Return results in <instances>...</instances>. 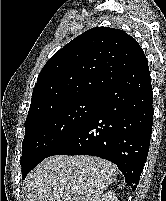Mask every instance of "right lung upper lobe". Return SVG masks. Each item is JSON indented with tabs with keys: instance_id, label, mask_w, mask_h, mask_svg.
<instances>
[{
	"instance_id": "1",
	"label": "right lung upper lobe",
	"mask_w": 166,
	"mask_h": 201,
	"mask_svg": "<svg viewBox=\"0 0 166 201\" xmlns=\"http://www.w3.org/2000/svg\"><path fill=\"white\" fill-rule=\"evenodd\" d=\"M143 57L138 42L120 29L92 28L65 45L41 70L28 117L85 95H101Z\"/></svg>"
}]
</instances>
